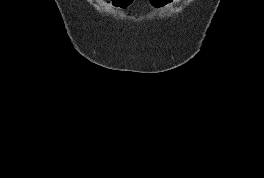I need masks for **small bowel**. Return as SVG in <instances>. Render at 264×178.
Returning a JSON list of instances; mask_svg holds the SVG:
<instances>
[{
    "label": "small bowel",
    "instance_id": "small-bowel-1",
    "mask_svg": "<svg viewBox=\"0 0 264 178\" xmlns=\"http://www.w3.org/2000/svg\"><path fill=\"white\" fill-rule=\"evenodd\" d=\"M133 1H134V0H133ZM133 1L130 3V5L133 3ZM177 1H179V0H171L170 3L177 2ZM130 5H129V6H130ZM129 6H128V7H129Z\"/></svg>",
    "mask_w": 264,
    "mask_h": 178
}]
</instances>
